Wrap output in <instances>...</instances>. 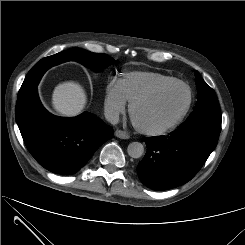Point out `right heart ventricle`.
I'll list each match as a JSON object with an SVG mask.
<instances>
[{
  "label": "right heart ventricle",
  "instance_id": "obj_1",
  "mask_svg": "<svg viewBox=\"0 0 245 245\" xmlns=\"http://www.w3.org/2000/svg\"><path fill=\"white\" fill-rule=\"evenodd\" d=\"M175 78L157 72H131L119 79L121 92L128 103L153 88Z\"/></svg>",
  "mask_w": 245,
  "mask_h": 245
}]
</instances>
